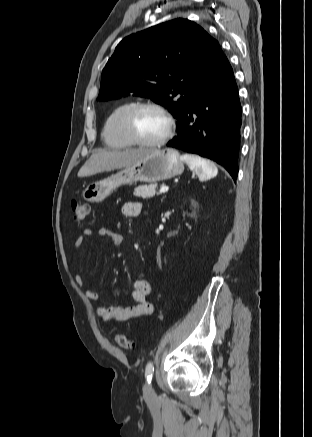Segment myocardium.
<instances>
[{"label":"myocardium","instance_id":"myocardium-1","mask_svg":"<svg viewBox=\"0 0 312 437\" xmlns=\"http://www.w3.org/2000/svg\"><path fill=\"white\" fill-rule=\"evenodd\" d=\"M145 109H152L160 113L167 121V130L165 134L153 141L141 139L135 130V119L139 112ZM123 129L129 140L136 145L143 147H157L166 144L174 135L175 121L172 115L163 106L154 102H141L134 104L127 110L123 118Z\"/></svg>","mask_w":312,"mask_h":437}]
</instances>
